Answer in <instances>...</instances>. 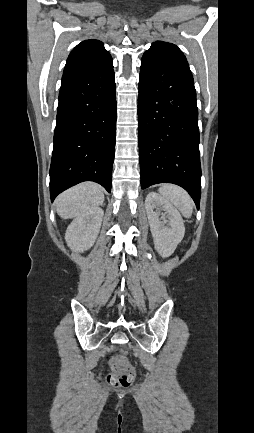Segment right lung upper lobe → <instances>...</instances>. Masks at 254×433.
I'll return each instance as SVG.
<instances>
[{"instance_id": "obj_1", "label": "right lung upper lobe", "mask_w": 254, "mask_h": 433, "mask_svg": "<svg viewBox=\"0 0 254 433\" xmlns=\"http://www.w3.org/2000/svg\"><path fill=\"white\" fill-rule=\"evenodd\" d=\"M111 59L102 42L93 39L85 40L71 51L63 74L98 67Z\"/></svg>"}]
</instances>
